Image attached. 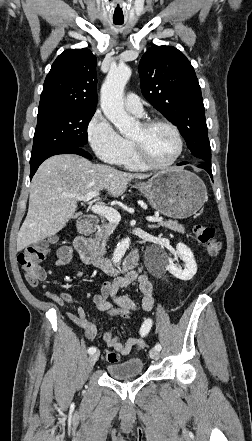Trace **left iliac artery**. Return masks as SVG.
<instances>
[{
  "label": "left iliac artery",
  "mask_w": 252,
  "mask_h": 441,
  "mask_svg": "<svg viewBox=\"0 0 252 441\" xmlns=\"http://www.w3.org/2000/svg\"><path fill=\"white\" fill-rule=\"evenodd\" d=\"M151 326H152V320L151 319H147L146 321L142 322V324L139 327L140 334L141 335H146L148 330H150ZM154 348L156 350L160 351L162 347H161V345L159 343H157Z\"/></svg>",
  "instance_id": "left-iliac-artery-1"
}]
</instances>
